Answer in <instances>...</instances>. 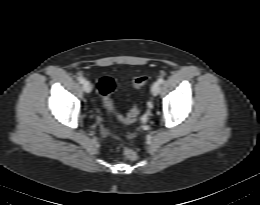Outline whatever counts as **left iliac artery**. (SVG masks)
Masks as SVG:
<instances>
[{
  "instance_id": "44dca946",
  "label": "left iliac artery",
  "mask_w": 260,
  "mask_h": 205,
  "mask_svg": "<svg viewBox=\"0 0 260 205\" xmlns=\"http://www.w3.org/2000/svg\"><path fill=\"white\" fill-rule=\"evenodd\" d=\"M158 82H159L160 84H162V83L164 82V79L161 77V78L158 79Z\"/></svg>"
}]
</instances>
